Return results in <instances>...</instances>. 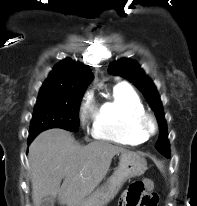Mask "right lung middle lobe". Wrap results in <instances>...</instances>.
<instances>
[{
  "instance_id": "obj_1",
  "label": "right lung middle lobe",
  "mask_w": 197,
  "mask_h": 206,
  "mask_svg": "<svg viewBox=\"0 0 197 206\" xmlns=\"http://www.w3.org/2000/svg\"><path fill=\"white\" fill-rule=\"evenodd\" d=\"M82 95V92H40L31 120L29 138H35L50 128L77 132Z\"/></svg>"
}]
</instances>
